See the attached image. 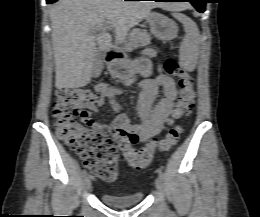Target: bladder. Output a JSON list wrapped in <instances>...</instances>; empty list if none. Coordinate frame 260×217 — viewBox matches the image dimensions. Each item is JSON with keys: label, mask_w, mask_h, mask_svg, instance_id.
<instances>
[{"label": "bladder", "mask_w": 260, "mask_h": 217, "mask_svg": "<svg viewBox=\"0 0 260 217\" xmlns=\"http://www.w3.org/2000/svg\"><path fill=\"white\" fill-rule=\"evenodd\" d=\"M144 193L137 192L128 195H114L110 193H101L100 199L107 205L112 207H128L139 204L143 201Z\"/></svg>", "instance_id": "31cf9c89"}]
</instances>
